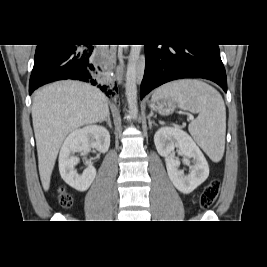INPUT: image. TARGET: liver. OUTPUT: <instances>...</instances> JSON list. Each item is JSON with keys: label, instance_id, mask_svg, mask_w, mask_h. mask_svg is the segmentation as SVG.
<instances>
[{"label": "liver", "instance_id": "1", "mask_svg": "<svg viewBox=\"0 0 267 267\" xmlns=\"http://www.w3.org/2000/svg\"><path fill=\"white\" fill-rule=\"evenodd\" d=\"M108 113L105 95L86 83L60 81L35 93L32 121L45 191L49 190L55 161L66 136L83 125L104 121Z\"/></svg>", "mask_w": 267, "mask_h": 267}]
</instances>
